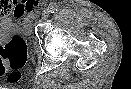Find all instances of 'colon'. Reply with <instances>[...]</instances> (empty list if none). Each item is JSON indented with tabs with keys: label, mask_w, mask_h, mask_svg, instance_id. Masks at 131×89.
Returning <instances> with one entry per match:
<instances>
[{
	"label": "colon",
	"mask_w": 131,
	"mask_h": 89,
	"mask_svg": "<svg viewBox=\"0 0 131 89\" xmlns=\"http://www.w3.org/2000/svg\"><path fill=\"white\" fill-rule=\"evenodd\" d=\"M10 12V6H7ZM28 55V46L24 38L11 37L4 45L0 46V77L8 83H17L21 77V68L24 66Z\"/></svg>",
	"instance_id": "1"
}]
</instances>
